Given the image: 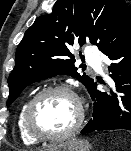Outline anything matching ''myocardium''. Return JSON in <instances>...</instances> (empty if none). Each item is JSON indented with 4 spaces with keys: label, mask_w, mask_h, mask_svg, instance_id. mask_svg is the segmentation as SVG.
<instances>
[{
    "label": "myocardium",
    "mask_w": 131,
    "mask_h": 151,
    "mask_svg": "<svg viewBox=\"0 0 131 151\" xmlns=\"http://www.w3.org/2000/svg\"><path fill=\"white\" fill-rule=\"evenodd\" d=\"M52 93H63L70 97L76 106V118L74 123L64 132L57 135H43L38 133L32 125V114L36 104L45 96ZM84 107L80 97L66 85H52L43 88L37 92L27 103L23 115V124L27 134L34 140L40 142H58L72 136L82 125L84 121Z\"/></svg>",
    "instance_id": "myocardium-1"
}]
</instances>
